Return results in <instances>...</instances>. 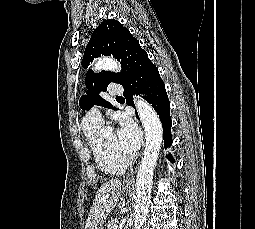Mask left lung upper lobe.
<instances>
[{
  "mask_svg": "<svg viewBox=\"0 0 255 229\" xmlns=\"http://www.w3.org/2000/svg\"><path fill=\"white\" fill-rule=\"evenodd\" d=\"M144 53L146 52L141 48L139 41L119 21L109 19L101 22L97 29L93 31L87 44L82 66L87 68L94 58L101 55H112L121 62L123 72L102 71L93 73L89 70L85 79L88 90L79 101L80 107L83 110H89L94 105H99L112 109L111 103L104 100L99 93L106 91L108 84L111 82L124 85ZM114 109L116 108L114 107Z\"/></svg>",
  "mask_w": 255,
  "mask_h": 229,
  "instance_id": "obj_1",
  "label": "left lung upper lobe"
}]
</instances>
